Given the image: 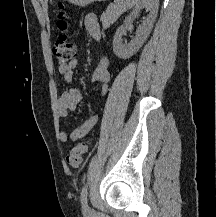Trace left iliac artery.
Instances as JSON below:
<instances>
[{
  "instance_id": "44dca946",
  "label": "left iliac artery",
  "mask_w": 216,
  "mask_h": 217,
  "mask_svg": "<svg viewBox=\"0 0 216 217\" xmlns=\"http://www.w3.org/2000/svg\"><path fill=\"white\" fill-rule=\"evenodd\" d=\"M80 200L83 206L87 205V186L85 185L81 191Z\"/></svg>"
}]
</instances>
